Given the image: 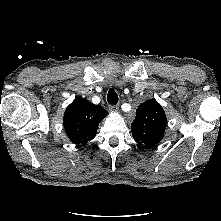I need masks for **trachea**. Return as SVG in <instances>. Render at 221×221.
<instances>
[{
	"mask_svg": "<svg viewBox=\"0 0 221 221\" xmlns=\"http://www.w3.org/2000/svg\"><path fill=\"white\" fill-rule=\"evenodd\" d=\"M107 101L111 105H115L118 103V95L114 91V89H110L107 96Z\"/></svg>",
	"mask_w": 221,
	"mask_h": 221,
	"instance_id": "3493384b",
	"label": "trachea"
}]
</instances>
